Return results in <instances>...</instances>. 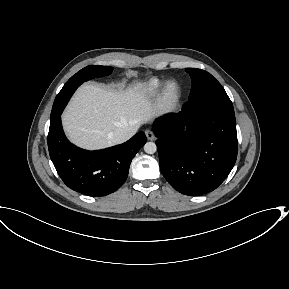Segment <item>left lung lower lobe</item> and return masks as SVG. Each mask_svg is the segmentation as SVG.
I'll return each instance as SVG.
<instances>
[{
  "label": "left lung lower lobe",
  "instance_id": "1",
  "mask_svg": "<svg viewBox=\"0 0 289 289\" xmlns=\"http://www.w3.org/2000/svg\"><path fill=\"white\" fill-rule=\"evenodd\" d=\"M153 130L158 137L161 172L182 194L213 191L236 162L238 142L232 104L188 101L181 112L158 118Z\"/></svg>",
  "mask_w": 289,
  "mask_h": 289
}]
</instances>
